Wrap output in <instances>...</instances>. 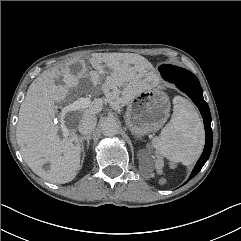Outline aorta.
<instances>
[{
    "label": "aorta",
    "instance_id": "1",
    "mask_svg": "<svg viewBox=\"0 0 241 241\" xmlns=\"http://www.w3.org/2000/svg\"><path fill=\"white\" fill-rule=\"evenodd\" d=\"M118 122L113 118H106L101 122V131L105 136H114L118 133Z\"/></svg>",
    "mask_w": 241,
    "mask_h": 241
}]
</instances>
